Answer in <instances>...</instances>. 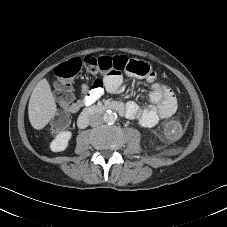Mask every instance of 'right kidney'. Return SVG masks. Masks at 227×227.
<instances>
[{
    "instance_id": "ca27d5eb",
    "label": "right kidney",
    "mask_w": 227,
    "mask_h": 227,
    "mask_svg": "<svg viewBox=\"0 0 227 227\" xmlns=\"http://www.w3.org/2000/svg\"><path fill=\"white\" fill-rule=\"evenodd\" d=\"M72 133L70 131H63L60 132L55 139L50 144V149L53 152H60L64 151L67 146L68 142L71 139Z\"/></svg>"
}]
</instances>
